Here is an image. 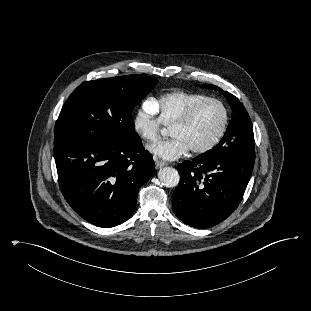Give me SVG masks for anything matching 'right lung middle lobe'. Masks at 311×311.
<instances>
[{
  "label": "right lung middle lobe",
  "instance_id": "right-lung-middle-lobe-1",
  "mask_svg": "<svg viewBox=\"0 0 311 311\" xmlns=\"http://www.w3.org/2000/svg\"><path fill=\"white\" fill-rule=\"evenodd\" d=\"M157 82L154 77L128 75L82 83L62 107L54 145L68 141L120 145L138 141L132 110Z\"/></svg>",
  "mask_w": 311,
  "mask_h": 311
}]
</instances>
